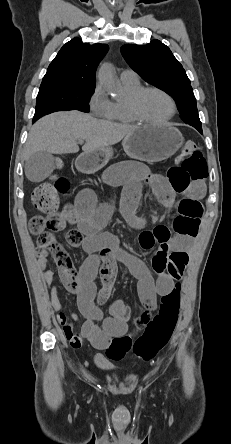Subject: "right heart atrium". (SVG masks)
Masks as SVG:
<instances>
[{
    "instance_id": "d8ad5b80",
    "label": "right heart atrium",
    "mask_w": 231,
    "mask_h": 444,
    "mask_svg": "<svg viewBox=\"0 0 231 444\" xmlns=\"http://www.w3.org/2000/svg\"><path fill=\"white\" fill-rule=\"evenodd\" d=\"M89 107L91 112L98 117H107L110 108L111 101L107 97L103 87L101 85H97L90 98H89Z\"/></svg>"
}]
</instances>
